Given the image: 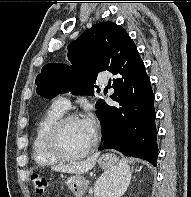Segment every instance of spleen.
Instances as JSON below:
<instances>
[{
	"label": "spleen",
	"instance_id": "spleen-1",
	"mask_svg": "<svg viewBox=\"0 0 191 197\" xmlns=\"http://www.w3.org/2000/svg\"><path fill=\"white\" fill-rule=\"evenodd\" d=\"M112 175L118 179L119 182L126 181V184H120L118 187L115 188L114 197H119L127 188L130 178H131V171L128 166L118 165L115 168V171L112 172Z\"/></svg>",
	"mask_w": 191,
	"mask_h": 197
}]
</instances>
